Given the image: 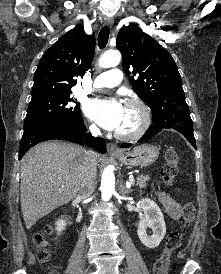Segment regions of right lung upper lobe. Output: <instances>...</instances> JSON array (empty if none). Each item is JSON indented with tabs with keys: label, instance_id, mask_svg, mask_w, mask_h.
Instances as JSON below:
<instances>
[{
	"label": "right lung upper lobe",
	"instance_id": "obj_1",
	"mask_svg": "<svg viewBox=\"0 0 221 274\" xmlns=\"http://www.w3.org/2000/svg\"><path fill=\"white\" fill-rule=\"evenodd\" d=\"M95 51L94 35H87L82 25L68 31L45 51L34 74L32 99L72 93L71 87L83 77Z\"/></svg>",
	"mask_w": 221,
	"mask_h": 274
}]
</instances>
